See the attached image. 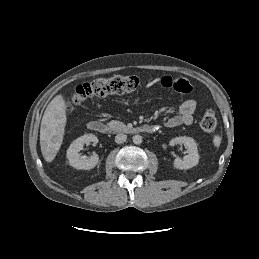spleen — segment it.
Instances as JSON below:
<instances>
[{"instance_id": "3e777b00", "label": "spleen", "mask_w": 259, "mask_h": 259, "mask_svg": "<svg viewBox=\"0 0 259 259\" xmlns=\"http://www.w3.org/2000/svg\"><path fill=\"white\" fill-rule=\"evenodd\" d=\"M213 143L216 147H219L221 144V137L219 135H215L213 138Z\"/></svg>"}]
</instances>
